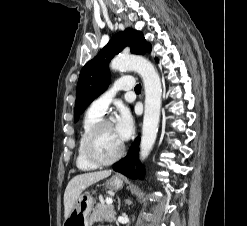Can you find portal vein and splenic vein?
<instances>
[{"label":"portal vein and splenic vein","mask_w":247,"mask_h":226,"mask_svg":"<svg viewBox=\"0 0 247 226\" xmlns=\"http://www.w3.org/2000/svg\"><path fill=\"white\" fill-rule=\"evenodd\" d=\"M112 202H113V200H112L111 198H107V199H106V203H107V204H112Z\"/></svg>","instance_id":"obj_1"}]
</instances>
